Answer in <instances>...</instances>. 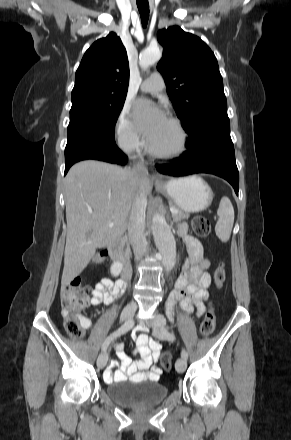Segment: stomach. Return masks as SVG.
Listing matches in <instances>:
<instances>
[{
  "mask_svg": "<svg viewBox=\"0 0 291 440\" xmlns=\"http://www.w3.org/2000/svg\"><path fill=\"white\" fill-rule=\"evenodd\" d=\"M156 189L167 195L184 212L196 213L208 208L214 194L211 187L199 176L171 179Z\"/></svg>",
  "mask_w": 291,
  "mask_h": 440,
  "instance_id": "1",
  "label": "stomach"
}]
</instances>
